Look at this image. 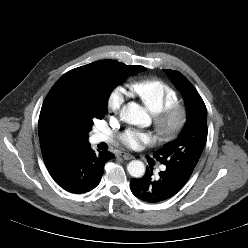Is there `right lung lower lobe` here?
I'll return each instance as SVG.
<instances>
[{"label":"right lung lower lobe","instance_id":"1","mask_svg":"<svg viewBox=\"0 0 248 248\" xmlns=\"http://www.w3.org/2000/svg\"><path fill=\"white\" fill-rule=\"evenodd\" d=\"M114 157V154L108 151L96 154L88 143L74 148L46 167L64 190L81 194L99 184L105 163Z\"/></svg>","mask_w":248,"mask_h":248}]
</instances>
